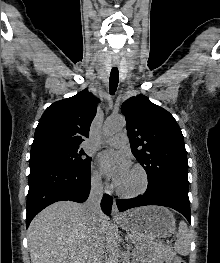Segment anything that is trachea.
Here are the masks:
<instances>
[{"instance_id":"1","label":"trachea","mask_w":220,"mask_h":263,"mask_svg":"<svg viewBox=\"0 0 220 263\" xmlns=\"http://www.w3.org/2000/svg\"><path fill=\"white\" fill-rule=\"evenodd\" d=\"M119 83V71L117 67H113L110 73L109 79V91L111 95H114Z\"/></svg>"}]
</instances>
